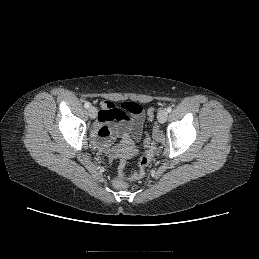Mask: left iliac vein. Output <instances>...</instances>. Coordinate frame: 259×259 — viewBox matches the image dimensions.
I'll return each mask as SVG.
<instances>
[{
	"label": "left iliac vein",
	"instance_id": "left-iliac-vein-1",
	"mask_svg": "<svg viewBox=\"0 0 259 259\" xmlns=\"http://www.w3.org/2000/svg\"><path fill=\"white\" fill-rule=\"evenodd\" d=\"M167 117H168V112L167 110L163 109L159 111L157 119L159 123H164L167 120Z\"/></svg>",
	"mask_w": 259,
	"mask_h": 259
}]
</instances>
